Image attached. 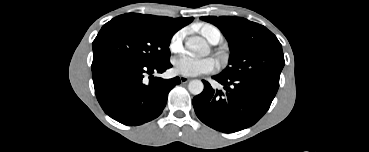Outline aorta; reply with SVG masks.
Returning a JSON list of instances; mask_svg holds the SVG:
<instances>
[{
    "mask_svg": "<svg viewBox=\"0 0 369 152\" xmlns=\"http://www.w3.org/2000/svg\"><path fill=\"white\" fill-rule=\"evenodd\" d=\"M186 49L193 55L205 56L208 53V46L200 37H189L185 42ZM204 85L201 80H191L188 84V90L193 95L202 93Z\"/></svg>",
    "mask_w": 369,
    "mask_h": 152,
    "instance_id": "762f6f07",
    "label": "aorta"
}]
</instances>
